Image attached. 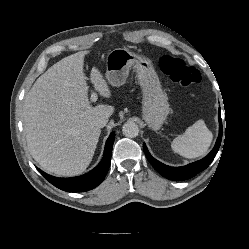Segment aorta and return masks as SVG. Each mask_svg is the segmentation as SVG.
<instances>
[{
  "mask_svg": "<svg viewBox=\"0 0 249 249\" xmlns=\"http://www.w3.org/2000/svg\"><path fill=\"white\" fill-rule=\"evenodd\" d=\"M122 132L128 138H135L139 134V127L134 122H126L122 127Z\"/></svg>",
  "mask_w": 249,
  "mask_h": 249,
  "instance_id": "1",
  "label": "aorta"
}]
</instances>
